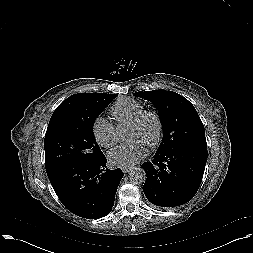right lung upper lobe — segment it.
I'll use <instances>...</instances> for the list:
<instances>
[{"instance_id": "right-lung-upper-lobe-1", "label": "right lung upper lobe", "mask_w": 253, "mask_h": 253, "mask_svg": "<svg viewBox=\"0 0 253 253\" xmlns=\"http://www.w3.org/2000/svg\"><path fill=\"white\" fill-rule=\"evenodd\" d=\"M105 93H78L65 99L54 111L52 116L86 110L92 103L109 96Z\"/></svg>"}]
</instances>
